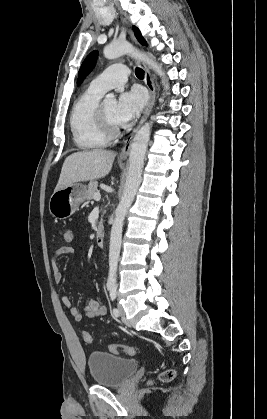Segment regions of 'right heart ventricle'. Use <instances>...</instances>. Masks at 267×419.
Masks as SVG:
<instances>
[{
	"instance_id": "1",
	"label": "right heart ventricle",
	"mask_w": 267,
	"mask_h": 419,
	"mask_svg": "<svg viewBox=\"0 0 267 419\" xmlns=\"http://www.w3.org/2000/svg\"><path fill=\"white\" fill-rule=\"evenodd\" d=\"M104 93L87 88L75 101L70 114V127L76 145L83 150H92L108 144L100 130L97 110Z\"/></svg>"
}]
</instances>
